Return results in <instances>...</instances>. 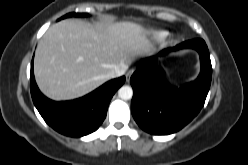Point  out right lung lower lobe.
I'll return each instance as SVG.
<instances>
[{"instance_id":"obj_1","label":"right lung lower lobe","mask_w":248,"mask_h":165,"mask_svg":"<svg viewBox=\"0 0 248 165\" xmlns=\"http://www.w3.org/2000/svg\"><path fill=\"white\" fill-rule=\"evenodd\" d=\"M125 77L113 79L90 94L72 101L55 102L38 89L31 63V96L45 122L61 134L81 137L98 129L106 117L109 102Z\"/></svg>"}]
</instances>
